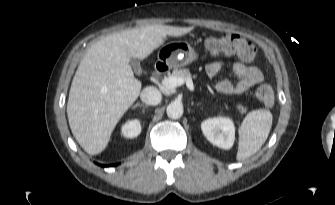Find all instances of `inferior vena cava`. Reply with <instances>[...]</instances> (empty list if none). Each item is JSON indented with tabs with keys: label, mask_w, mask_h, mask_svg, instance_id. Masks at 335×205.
Here are the masks:
<instances>
[{
	"label": "inferior vena cava",
	"mask_w": 335,
	"mask_h": 205,
	"mask_svg": "<svg viewBox=\"0 0 335 205\" xmlns=\"http://www.w3.org/2000/svg\"><path fill=\"white\" fill-rule=\"evenodd\" d=\"M140 98L147 105H157L161 102L162 95L156 87L149 86L142 90Z\"/></svg>",
	"instance_id": "obj_1"
}]
</instances>
